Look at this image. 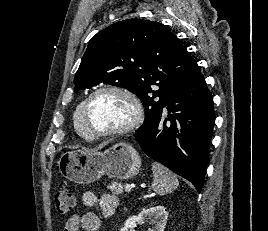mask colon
<instances>
[{
  "mask_svg": "<svg viewBox=\"0 0 268 231\" xmlns=\"http://www.w3.org/2000/svg\"><path fill=\"white\" fill-rule=\"evenodd\" d=\"M56 210L61 214L69 213L76 205V197L69 191H58L55 194Z\"/></svg>",
  "mask_w": 268,
  "mask_h": 231,
  "instance_id": "5ec220e1",
  "label": "colon"
}]
</instances>
